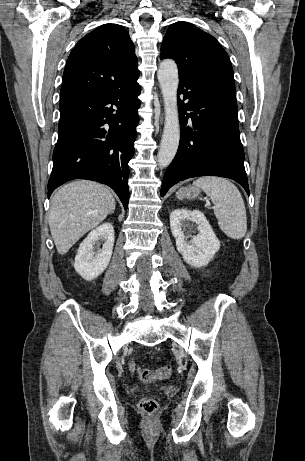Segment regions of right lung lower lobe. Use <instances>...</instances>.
I'll list each match as a JSON object with an SVG mask.
<instances>
[{
  "mask_svg": "<svg viewBox=\"0 0 305 461\" xmlns=\"http://www.w3.org/2000/svg\"><path fill=\"white\" fill-rule=\"evenodd\" d=\"M139 94L140 86L134 82L110 93L60 103L48 197L69 180L88 179L110 186L127 209Z\"/></svg>",
  "mask_w": 305,
  "mask_h": 461,
  "instance_id": "right-lung-lower-lobe-1",
  "label": "right lung lower lobe"
}]
</instances>
